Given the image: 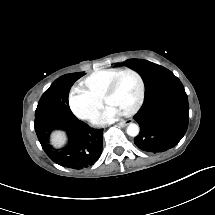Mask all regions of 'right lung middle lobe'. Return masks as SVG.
<instances>
[{
  "label": "right lung middle lobe",
  "mask_w": 215,
  "mask_h": 215,
  "mask_svg": "<svg viewBox=\"0 0 215 215\" xmlns=\"http://www.w3.org/2000/svg\"><path fill=\"white\" fill-rule=\"evenodd\" d=\"M82 75L64 76L50 86L38 103L35 112V123L51 119H76L69 108L68 95L71 86Z\"/></svg>",
  "instance_id": "dd1d6c3e"
}]
</instances>
